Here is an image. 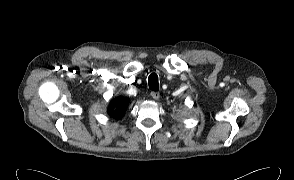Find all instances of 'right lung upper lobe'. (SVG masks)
Returning a JSON list of instances; mask_svg holds the SVG:
<instances>
[{"label": "right lung upper lobe", "instance_id": "right-lung-upper-lobe-1", "mask_svg": "<svg viewBox=\"0 0 294 180\" xmlns=\"http://www.w3.org/2000/svg\"><path fill=\"white\" fill-rule=\"evenodd\" d=\"M127 106L128 98L118 97L111 101L108 112L113 118L119 119L123 116Z\"/></svg>", "mask_w": 294, "mask_h": 180}]
</instances>
